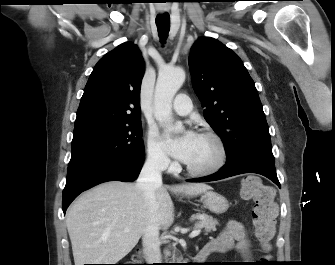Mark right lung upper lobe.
I'll list each match as a JSON object with an SVG mask.
<instances>
[{
    "instance_id": "1",
    "label": "right lung upper lobe",
    "mask_w": 335,
    "mask_h": 265,
    "mask_svg": "<svg viewBox=\"0 0 335 265\" xmlns=\"http://www.w3.org/2000/svg\"><path fill=\"white\" fill-rule=\"evenodd\" d=\"M144 61L138 47L123 43L95 65L81 98L75 128L140 119Z\"/></svg>"
}]
</instances>
